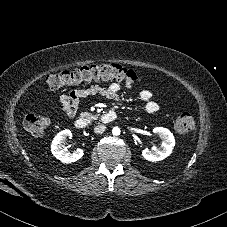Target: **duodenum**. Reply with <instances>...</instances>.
I'll return each instance as SVG.
<instances>
[{
	"mask_svg": "<svg viewBox=\"0 0 227 227\" xmlns=\"http://www.w3.org/2000/svg\"><path fill=\"white\" fill-rule=\"evenodd\" d=\"M116 119V113L114 111H108L102 115L101 121L103 123H110ZM77 129H84L87 127V121L85 118H79L74 123Z\"/></svg>",
	"mask_w": 227,
	"mask_h": 227,
	"instance_id": "obj_1",
	"label": "duodenum"
}]
</instances>
